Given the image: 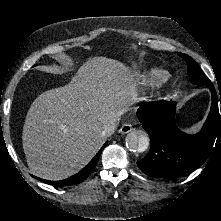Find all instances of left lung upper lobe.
<instances>
[{
	"instance_id": "1",
	"label": "left lung upper lobe",
	"mask_w": 221,
	"mask_h": 221,
	"mask_svg": "<svg viewBox=\"0 0 221 221\" xmlns=\"http://www.w3.org/2000/svg\"><path fill=\"white\" fill-rule=\"evenodd\" d=\"M178 55L186 61L189 79L193 84L203 86H209L212 84L209 78L201 71L198 64L190 56L183 53H178Z\"/></svg>"
}]
</instances>
